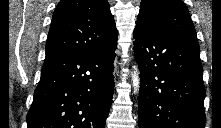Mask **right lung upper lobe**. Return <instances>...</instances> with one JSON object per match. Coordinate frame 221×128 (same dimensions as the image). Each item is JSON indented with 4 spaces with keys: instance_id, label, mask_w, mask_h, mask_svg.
Segmentation results:
<instances>
[{
    "instance_id": "1",
    "label": "right lung upper lobe",
    "mask_w": 221,
    "mask_h": 128,
    "mask_svg": "<svg viewBox=\"0 0 221 128\" xmlns=\"http://www.w3.org/2000/svg\"><path fill=\"white\" fill-rule=\"evenodd\" d=\"M117 35L107 0H61L53 13L45 60L104 48Z\"/></svg>"
}]
</instances>
